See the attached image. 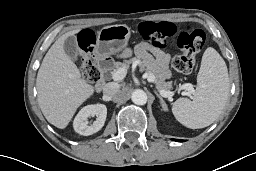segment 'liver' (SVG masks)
Segmentation results:
<instances>
[{
	"instance_id": "1",
	"label": "liver",
	"mask_w": 256,
	"mask_h": 171,
	"mask_svg": "<svg viewBox=\"0 0 256 171\" xmlns=\"http://www.w3.org/2000/svg\"><path fill=\"white\" fill-rule=\"evenodd\" d=\"M79 31H69L55 41L36 79L39 107L46 120L60 129L67 127L77 108L95 91L94 86L81 79L79 69L64 51L65 40Z\"/></svg>"
}]
</instances>
